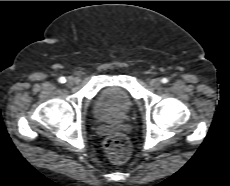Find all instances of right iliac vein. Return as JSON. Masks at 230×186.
I'll return each instance as SVG.
<instances>
[{"label":"right iliac vein","instance_id":"obj_1","mask_svg":"<svg viewBox=\"0 0 230 186\" xmlns=\"http://www.w3.org/2000/svg\"><path fill=\"white\" fill-rule=\"evenodd\" d=\"M77 82V79H75V78H73V77H69L68 79H67V81H66V84L68 85V86H72L74 83H76Z\"/></svg>","mask_w":230,"mask_h":186}]
</instances>
